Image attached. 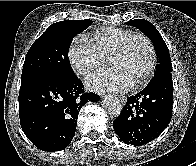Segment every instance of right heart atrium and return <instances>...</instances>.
<instances>
[{
    "label": "right heart atrium",
    "instance_id": "obj_1",
    "mask_svg": "<svg viewBox=\"0 0 196 166\" xmlns=\"http://www.w3.org/2000/svg\"><path fill=\"white\" fill-rule=\"evenodd\" d=\"M68 57L77 73L86 75L101 67L105 58L90 39L82 36L75 37L68 49Z\"/></svg>",
    "mask_w": 196,
    "mask_h": 166
}]
</instances>
